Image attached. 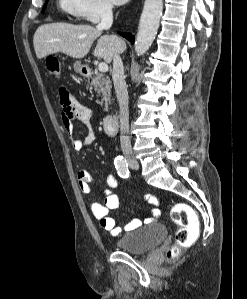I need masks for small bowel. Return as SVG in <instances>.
Segmentation results:
<instances>
[{"instance_id":"c3829d8e","label":"small bowel","mask_w":247,"mask_h":299,"mask_svg":"<svg viewBox=\"0 0 247 299\" xmlns=\"http://www.w3.org/2000/svg\"><path fill=\"white\" fill-rule=\"evenodd\" d=\"M59 98L62 106L61 119L63 127L71 138V145L75 152H81L85 146L92 144L95 140V134L91 126L93 111L89 107L80 103L66 88L59 89ZM74 122L81 123L85 129L83 139L74 136ZM78 185L81 192L88 197L89 207L93 216L99 221L101 227L112 236H120L122 229L117 225L115 219L110 217L111 210L119 206L118 195L114 192L118 186V179L114 174H108L104 180V202L94 201L91 195V182L93 177L89 172L81 170L77 173ZM144 199L152 206L150 213L152 217L147 218L145 222H153L160 214L158 209V200L155 196L145 194ZM142 221L133 219L125 225V230L131 231L140 227Z\"/></svg>"}]
</instances>
